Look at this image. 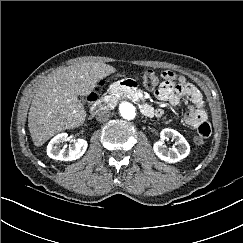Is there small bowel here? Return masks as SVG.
I'll return each mask as SVG.
<instances>
[{
  "label": "small bowel",
  "instance_id": "small-bowel-1",
  "mask_svg": "<svg viewBox=\"0 0 243 243\" xmlns=\"http://www.w3.org/2000/svg\"><path fill=\"white\" fill-rule=\"evenodd\" d=\"M163 77L164 81L154 92L155 97L158 100L168 102L173 107H176L182 99H188L190 105L184 115V122L195 128L199 135L204 138L209 137L211 126L208 122L201 92L184 76L177 73L166 71L163 72ZM154 114L156 117H161L163 110L158 108Z\"/></svg>",
  "mask_w": 243,
  "mask_h": 243
}]
</instances>
